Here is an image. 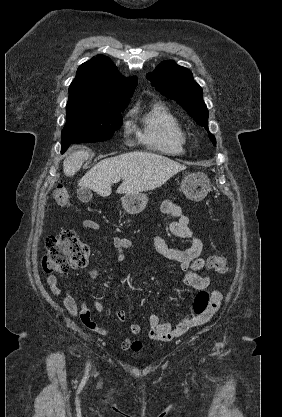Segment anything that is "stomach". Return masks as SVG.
Instances as JSON below:
<instances>
[{
	"label": "stomach",
	"mask_w": 282,
	"mask_h": 417,
	"mask_svg": "<svg viewBox=\"0 0 282 417\" xmlns=\"http://www.w3.org/2000/svg\"><path fill=\"white\" fill-rule=\"evenodd\" d=\"M210 180L207 174L204 172H191V174H185L181 182V190L184 192L187 198L191 200H202L205 198L210 190ZM123 209L129 215H138L146 209L148 196L139 192V194H124L121 198Z\"/></svg>",
	"instance_id": "stomach-1"
}]
</instances>
